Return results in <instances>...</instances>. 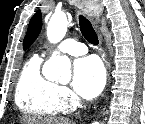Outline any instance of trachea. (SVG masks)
I'll use <instances>...</instances> for the list:
<instances>
[{"instance_id": "trachea-1", "label": "trachea", "mask_w": 145, "mask_h": 124, "mask_svg": "<svg viewBox=\"0 0 145 124\" xmlns=\"http://www.w3.org/2000/svg\"><path fill=\"white\" fill-rule=\"evenodd\" d=\"M79 26H80V30L82 35L84 36V38L91 44L93 45H97L98 44V37L97 34L94 30V28L92 27V24L90 23V21L80 15L79 16Z\"/></svg>"}]
</instances>
